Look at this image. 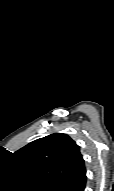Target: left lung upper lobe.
<instances>
[{
  "label": "left lung upper lobe",
  "instance_id": "left-lung-upper-lobe-1",
  "mask_svg": "<svg viewBox=\"0 0 114 191\" xmlns=\"http://www.w3.org/2000/svg\"><path fill=\"white\" fill-rule=\"evenodd\" d=\"M14 157L20 171L41 191H67L85 169L79 146L63 133L37 139Z\"/></svg>",
  "mask_w": 114,
  "mask_h": 191
}]
</instances>
